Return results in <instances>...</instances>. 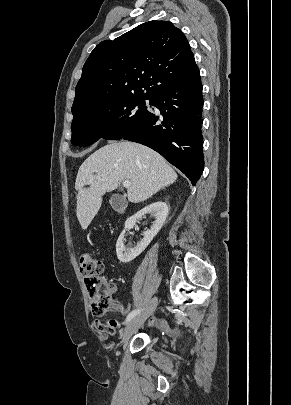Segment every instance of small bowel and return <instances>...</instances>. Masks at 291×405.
Here are the masks:
<instances>
[{"mask_svg": "<svg viewBox=\"0 0 291 405\" xmlns=\"http://www.w3.org/2000/svg\"><path fill=\"white\" fill-rule=\"evenodd\" d=\"M117 287L115 284L110 285V296H111V308L113 312H120L126 314L128 310L117 300L113 298V295L116 293ZM95 327L101 333H106L109 335L115 334L116 330L119 327V323L114 320H108L106 323L101 322L100 320H95Z\"/></svg>", "mask_w": 291, "mask_h": 405, "instance_id": "1", "label": "small bowel"}]
</instances>
